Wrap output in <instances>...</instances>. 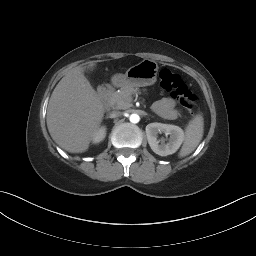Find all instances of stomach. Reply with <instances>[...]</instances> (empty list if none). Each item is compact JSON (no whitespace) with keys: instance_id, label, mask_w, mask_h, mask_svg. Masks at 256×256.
Segmentation results:
<instances>
[{"instance_id":"0dacf381","label":"stomach","mask_w":256,"mask_h":256,"mask_svg":"<svg viewBox=\"0 0 256 256\" xmlns=\"http://www.w3.org/2000/svg\"><path fill=\"white\" fill-rule=\"evenodd\" d=\"M158 65L155 61L145 59L130 67L125 74L117 73L111 82L115 87H144L153 85L157 81Z\"/></svg>"}]
</instances>
